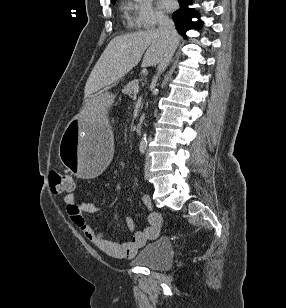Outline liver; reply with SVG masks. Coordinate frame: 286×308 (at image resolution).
Returning a JSON list of instances; mask_svg holds the SVG:
<instances>
[{"mask_svg":"<svg viewBox=\"0 0 286 308\" xmlns=\"http://www.w3.org/2000/svg\"><path fill=\"white\" fill-rule=\"evenodd\" d=\"M178 42L180 36L177 37ZM167 43L158 29H148L135 33L114 37L96 65L94 66L85 85V98L89 101L94 94L105 89L111 84L128 74L142 60V67H154L162 59ZM88 105L83 113L89 124L102 122L100 112L88 110Z\"/></svg>","mask_w":286,"mask_h":308,"instance_id":"6515ba94","label":"liver"}]
</instances>
